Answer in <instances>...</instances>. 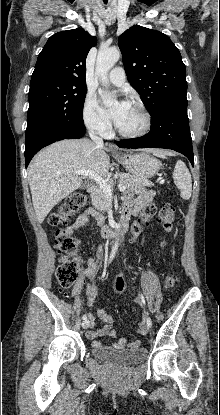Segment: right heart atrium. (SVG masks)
<instances>
[{
    "mask_svg": "<svg viewBox=\"0 0 220 415\" xmlns=\"http://www.w3.org/2000/svg\"><path fill=\"white\" fill-rule=\"evenodd\" d=\"M82 118L85 126L91 132L105 135L109 130V123L101 114L97 100L92 93H87L83 102Z\"/></svg>",
    "mask_w": 220,
    "mask_h": 415,
    "instance_id": "right-heart-atrium-1",
    "label": "right heart atrium"
}]
</instances>
